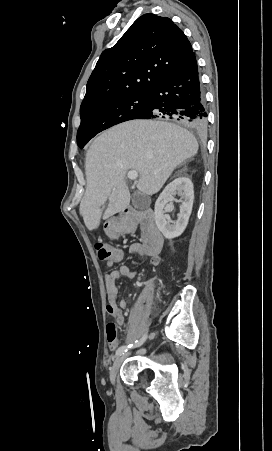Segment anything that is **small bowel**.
Returning a JSON list of instances; mask_svg holds the SVG:
<instances>
[{"label": "small bowel", "instance_id": "obj_1", "mask_svg": "<svg viewBox=\"0 0 272 451\" xmlns=\"http://www.w3.org/2000/svg\"><path fill=\"white\" fill-rule=\"evenodd\" d=\"M133 250H138L139 246H134ZM122 252L118 253L114 258L108 259L106 261V267L112 268L117 262L122 259ZM150 266L156 268L160 263L159 253L155 255H149ZM137 272L131 271L127 265H120L118 268L111 270L105 274L104 282L107 294V304L106 311L112 316L118 326H124L125 317L123 310L127 308V302L125 300H119V289L116 285V281L122 278H135Z\"/></svg>", "mask_w": 272, "mask_h": 451}]
</instances>
